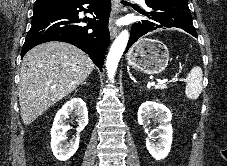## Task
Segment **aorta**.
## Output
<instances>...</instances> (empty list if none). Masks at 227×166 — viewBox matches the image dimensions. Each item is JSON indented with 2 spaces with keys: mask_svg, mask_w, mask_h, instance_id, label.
Here are the masks:
<instances>
[{
  "mask_svg": "<svg viewBox=\"0 0 227 166\" xmlns=\"http://www.w3.org/2000/svg\"><path fill=\"white\" fill-rule=\"evenodd\" d=\"M129 40V33L127 30L122 31L113 42L106 60L107 74L110 80L113 81L115 72L123 55Z\"/></svg>",
  "mask_w": 227,
  "mask_h": 166,
  "instance_id": "aorta-1",
  "label": "aorta"
}]
</instances>
